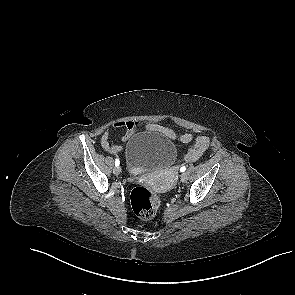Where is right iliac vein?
Returning <instances> with one entry per match:
<instances>
[{"mask_svg":"<svg viewBox=\"0 0 295 295\" xmlns=\"http://www.w3.org/2000/svg\"><path fill=\"white\" fill-rule=\"evenodd\" d=\"M113 173L115 175H119L121 173V168L119 166H115L113 169Z\"/></svg>","mask_w":295,"mask_h":295,"instance_id":"obj_1","label":"right iliac vein"}]
</instances>
